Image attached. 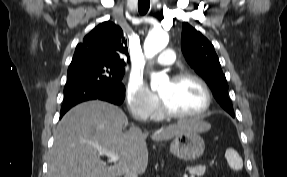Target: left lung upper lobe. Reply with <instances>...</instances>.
I'll list each match as a JSON object with an SVG mask.
<instances>
[{"label": "left lung upper lobe", "mask_w": 287, "mask_h": 177, "mask_svg": "<svg viewBox=\"0 0 287 177\" xmlns=\"http://www.w3.org/2000/svg\"><path fill=\"white\" fill-rule=\"evenodd\" d=\"M182 52L188 64L206 81L217 102L234 117L228 84L212 43L188 23L182 25Z\"/></svg>", "instance_id": "left-lung-upper-lobe-1"}]
</instances>
